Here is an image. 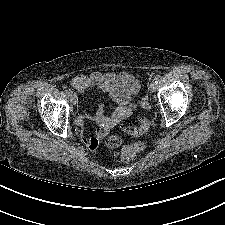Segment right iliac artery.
Segmentation results:
<instances>
[{
  "label": "right iliac artery",
  "mask_w": 225,
  "mask_h": 225,
  "mask_svg": "<svg viewBox=\"0 0 225 225\" xmlns=\"http://www.w3.org/2000/svg\"><path fill=\"white\" fill-rule=\"evenodd\" d=\"M66 93H67L68 96H71L73 92H72L71 89H67V90H66Z\"/></svg>",
  "instance_id": "right-iliac-artery-1"
}]
</instances>
